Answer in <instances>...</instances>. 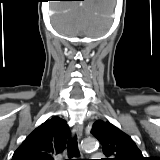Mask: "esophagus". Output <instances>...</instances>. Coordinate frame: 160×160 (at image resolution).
Instances as JSON below:
<instances>
[{
	"label": "esophagus",
	"instance_id": "esophagus-1",
	"mask_svg": "<svg viewBox=\"0 0 160 160\" xmlns=\"http://www.w3.org/2000/svg\"><path fill=\"white\" fill-rule=\"evenodd\" d=\"M73 133L77 135L78 138H81L83 134V126L81 124H75L73 127Z\"/></svg>",
	"mask_w": 160,
	"mask_h": 160
}]
</instances>
